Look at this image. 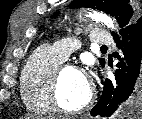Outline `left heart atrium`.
Segmentation results:
<instances>
[{
  "label": "left heart atrium",
  "mask_w": 142,
  "mask_h": 119,
  "mask_svg": "<svg viewBox=\"0 0 142 119\" xmlns=\"http://www.w3.org/2000/svg\"><path fill=\"white\" fill-rule=\"evenodd\" d=\"M82 77L84 79V82L86 83V85L90 88L91 87V78L88 74L86 73H82Z\"/></svg>",
  "instance_id": "left-heart-atrium-1"
}]
</instances>
